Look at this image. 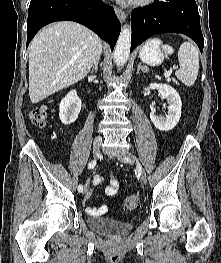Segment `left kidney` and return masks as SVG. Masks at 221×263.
I'll list each match as a JSON object with an SVG mask.
<instances>
[{
  "label": "left kidney",
  "instance_id": "obj_1",
  "mask_svg": "<svg viewBox=\"0 0 221 263\" xmlns=\"http://www.w3.org/2000/svg\"><path fill=\"white\" fill-rule=\"evenodd\" d=\"M151 89H158L162 99L169 103L168 112L165 117L157 116L155 111L150 113V119L154 126L160 131L172 130L181 117L182 102L178 92L167 84L151 83Z\"/></svg>",
  "mask_w": 221,
  "mask_h": 263
}]
</instances>
